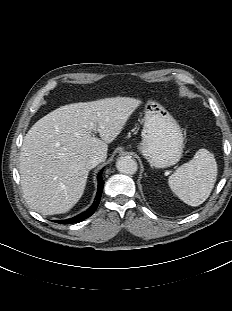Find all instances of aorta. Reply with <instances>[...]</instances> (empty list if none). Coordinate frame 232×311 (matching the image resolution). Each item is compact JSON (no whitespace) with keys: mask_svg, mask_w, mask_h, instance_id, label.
Instances as JSON below:
<instances>
[{"mask_svg":"<svg viewBox=\"0 0 232 311\" xmlns=\"http://www.w3.org/2000/svg\"><path fill=\"white\" fill-rule=\"evenodd\" d=\"M116 168L120 173L131 175L137 171L138 165L132 157L123 156L117 160Z\"/></svg>","mask_w":232,"mask_h":311,"instance_id":"1","label":"aorta"}]
</instances>
